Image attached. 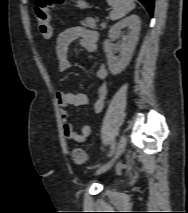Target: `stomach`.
Here are the masks:
<instances>
[{
    "instance_id": "0dacf381",
    "label": "stomach",
    "mask_w": 188,
    "mask_h": 213,
    "mask_svg": "<svg viewBox=\"0 0 188 213\" xmlns=\"http://www.w3.org/2000/svg\"><path fill=\"white\" fill-rule=\"evenodd\" d=\"M76 6L83 9L87 7V4L84 2V0H77L76 1Z\"/></svg>"
}]
</instances>
